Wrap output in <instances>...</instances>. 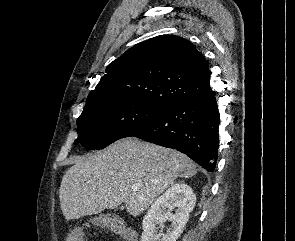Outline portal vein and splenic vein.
Segmentation results:
<instances>
[{"label": "portal vein and splenic vein", "instance_id": "1", "mask_svg": "<svg viewBox=\"0 0 295 241\" xmlns=\"http://www.w3.org/2000/svg\"><path fill=\"white\" fill-rule=\"evenodd\" d=\"M131 189H132L133 191H137V190L139 189V185H138V184H133V185L131 186Z\"/></svg>", "mask_w": 295, "mask_h": 241}]
</instances>
